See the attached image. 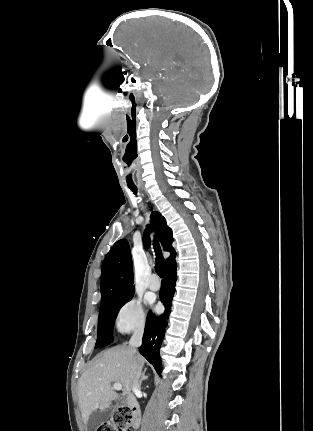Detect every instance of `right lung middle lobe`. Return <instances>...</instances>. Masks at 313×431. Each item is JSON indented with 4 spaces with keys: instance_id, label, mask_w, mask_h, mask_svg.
Wrapping results in <instances>:
<instances>
[{
    "instance_id": "right-lung-middle-lobe-1",
    "label": "right lung middle lobe",
    "mask_w": 313,
    "mask_h": 431,
    "mask_svg": "<svg viewBox=\"0 0 313 431\" xmlns=\"http://www.w3.org/2000/svg\"><path fill=\"white\" fill-rule=\"evenodd\" d=\"M133 294L134 292L124 297L101 302L99 310L98 336L95 348L104 347L113 341L112 332L116 316L120 308L132 299Z\"/></svg>"
}]
</instances>
